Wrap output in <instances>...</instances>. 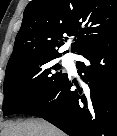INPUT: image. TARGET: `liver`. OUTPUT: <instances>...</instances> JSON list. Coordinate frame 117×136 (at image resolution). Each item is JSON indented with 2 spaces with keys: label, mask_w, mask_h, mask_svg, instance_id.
<instances>
[{
  "label": "liver",
  "mask_w": 117,
  "mask_h": 136,
  "mask_svg": "<svg viewBox=\"0 0 117 136\" xmlns=\"http://www.w3.org/2000/svg\"><path fill=\"white\" fill-rule=\"evenodd\" d=\"M5 136H65L50 123L32 119L18 124H9L4 130Z\"/></svg>",
  "instance_id": "1"
}]
</instances>
